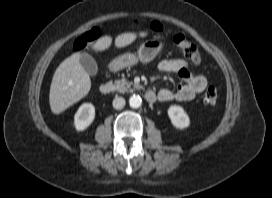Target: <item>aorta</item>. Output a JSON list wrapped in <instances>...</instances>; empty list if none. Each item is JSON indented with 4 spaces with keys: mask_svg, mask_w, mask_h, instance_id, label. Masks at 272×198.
<instances>
[{
    "mask_svg": "<svg viewBox=\"0 0 272 198\" xmlns=\"http://www.w3.org/2000/svg\"><path fill=\"white\" fill-rule=\"evenodd\" d=\"M142 104V99L139 95H133L129 99V105L132 108H139Z\"/></svg>",
    "mask_w": 272,
    "mask_h": 198,
    "instance_id": "1",
    "label": "aorta"
}]
</instances>
